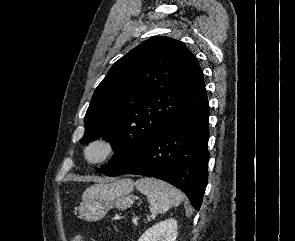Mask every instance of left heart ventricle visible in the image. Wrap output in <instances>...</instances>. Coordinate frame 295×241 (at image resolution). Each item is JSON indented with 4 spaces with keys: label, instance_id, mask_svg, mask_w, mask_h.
Masks as SVG:
<instances>
[{
    "label": "left heart ventricle",
    "instance_id": "1",
    "mask_svg": "<svg viewBox=\"0 0 295 241\" xmlns=\"http://www.w3.org/2000/svg\"><path fill=\"white\" fill-rule=\"evenodd\" d=\"M100 151H101L100 149H96V150L93 151L92 155L94 157H96V156H98L100 154Z\"/></svg>",
    "mask_w": 295,
    "mask_h": 241
}]
</instances>
